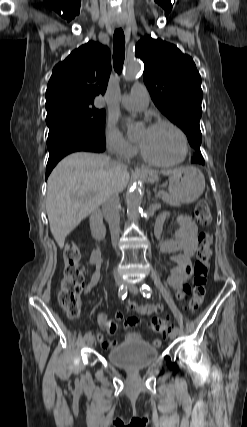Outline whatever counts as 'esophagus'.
I'll return each instance as SVG.
<instances>
[{"instance_id": "obj_1", "label": "esophagus", "mask_w": 247, "mask_h": 427, "mask_svg": "<svg viewBox=\"0 0 247 427\" xmlns=\"http://www.w3.org/2000/svg\"><path fill=\"white\" fill-rule=\"evenodd\" d=\"M135 170H136L137 172L144 173V174H150V173H151V171H150V170H148V169H146V168H143V167H136V168H135Z\"/></svg>"}]
</instances>
